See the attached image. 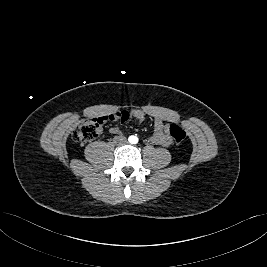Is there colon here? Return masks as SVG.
Instances as JSON below:
<instances>
[{
    "label": "colon",
    "mask_w": 267,
    "mask_h": 267,
    "mask_svg": "<svg viewBox=\"0 0 267 267\" xmlns=\"http://www.w3.org/2000/svg\"><path fill=\"white\" fill-rule=\"evenodd\" d=\"M109 121H121L127 120V114L122 112H116L109 117H95L82 121L72 133V137L76 142L84 143L95 139L101 132L104 122ZM169 132L171 137L176 143H182L186 139L185 130L177 124L170 125Z\"/></svg>",
    "instance_id": "obj_1"
}]
</instances>
